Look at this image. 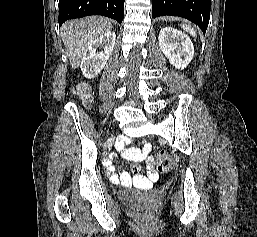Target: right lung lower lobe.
Returning a JSON list of instances; mask_svg holds the SVG:
<instances>
[{"instance_id":"obj_1","label":"right lung lower lobe","mask_w":257,"mask_h":237,"mask_svg":"<svg viewBox=\"0 0 257 237\" xmlns=\"http://www.w3.org/2000/svg\"><path fill=\"white\" fill-rule=\"evenodd\" d=\"M125 0H59V26L66 20L103 15L119 23L124 17Z\"/></svg>"}]
</instances>
